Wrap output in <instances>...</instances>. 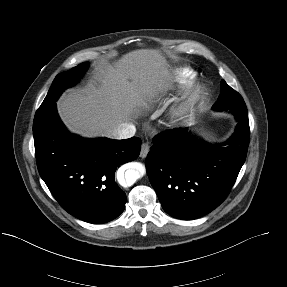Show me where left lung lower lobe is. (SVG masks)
I'll return each instance as SVG.
<instances>
[{"label": "left lung lower lobe", "instance_id": "obj_1", "mask_svg": "<svg viewBox=\"0 0 287 287\" xmlns=\"http://www.w3.org/2000/svg\"><path fill=\"white\" fill-rule=\"evenodd\" d=\"M232 137L211 145L197 140L187 128L153 138L146 158L151 185L166 213L183 220L202 217L227 197L245 162L250 139L248 112Z\"/></svg>", "mask_w": 287, "mask_h": 287}]
</instances>
